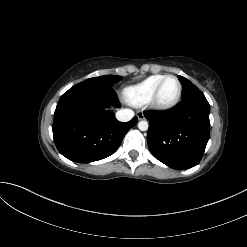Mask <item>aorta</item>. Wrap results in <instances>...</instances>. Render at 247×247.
Instances as JSON below:
<instances>
[{"mask_svg": "<svg viewBox=\"0 0 247 247\" xmlns=\"http://www.w3.org/2000/svg\"><path fill=\"white\" fill-rule=\"evenodd\" d=\"M148 127H149V124H148L147 121H140V122L138 123V128H139V130H141V131H146V130H148Z\"/></svg>", "mask_w": 247, "mask_h": 247, "instance_id": "obj_1", "label": "aorta"}]
</instances>
